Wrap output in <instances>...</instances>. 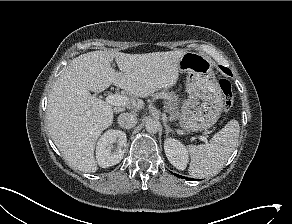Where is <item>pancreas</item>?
<instances>
[{"instance_id": "1", "label": "pancreas", "mask_w": 292, "mask_h": 224, "mask_svg": "<svg viewBox=\"0 0 292 224\" xmlns=\"http://www.w3.org/2000/svg\"><path fill=\"white\" fill-rule=\"evenodd\" d=\"M158 96L166 100V111L170 114V119L173 120L178 115L180 100L174 92L161 91Z\"/></svg>"}]
</instances>
